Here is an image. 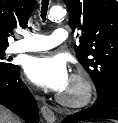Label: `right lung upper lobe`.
Returning a JSON list of instances; mask_svg holds the SVG:
<instances>
[{
    "instance_id": "right-lung-upper-lobe-1",
    "label": "right lung upper lobe",
    "mask_w": 118,
    "mask_h": 123,
    "mask_svg": "<svg viewBox=\"0 0 118 123\" xmlns=\"http://www.w3.org/2000/svg\"><path fill=\"white\" fill-rule=\"evenodd\" d=\"M35 0H0V48L9 46L7 38L15 27L26 28Z\"/></svg>"
}]
</instances>
